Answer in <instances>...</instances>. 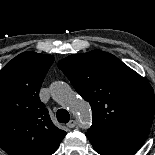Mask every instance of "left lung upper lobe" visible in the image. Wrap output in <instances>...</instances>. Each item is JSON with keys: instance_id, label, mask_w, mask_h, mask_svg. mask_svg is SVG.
Instances as JSON below:
<instances>
[{"instance_id": "5c2ea615", "label": "left lung upper lobe", "mask_w": 155, "mask_h": 155, "mask_svg": "<svg viewBox=\"0 0 155 155\" xmlns=\"http://www.w3.org/2000/svg\"><path fill=\"white\" fill-rule=\"evenodd\" d=\"M93 112L89 133L150 129L155 96L149 82L114 55L93 50L58 63Z\"/></svg>"}]
</instances>
